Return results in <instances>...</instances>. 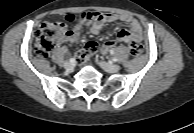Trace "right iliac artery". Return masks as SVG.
Here are the masks:
<instances>
[{
  "instance_id": "obj_1",
  "label": "right iliac artery",
  "mask_w": 194,
  "mask_h": 133,
  "mask_svg": "<svg viewBox=\"0 0 194 133\" xmlns=\"http://www.w3.org/2000/svg\"><path fill=\"white\" fill-rule=\"evenodd\" d=\"M70 62L73 63V62H74V59L71 58V59H70Z\"/></svg>"
}]
</instances>
